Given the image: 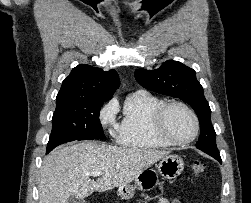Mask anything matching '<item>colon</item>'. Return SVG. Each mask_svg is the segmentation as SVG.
I'll list each match as a JSON object with an SVG mask.
<instances>
[{
    "label": "colon",
    "mask_w": 251,
    "mask_h": 203,
    "mask_svg": "<svg viewBox=\"0 0 251 203\" xmlns=\"http://www.w3.org/2000/svg\"><path fill=\"white\" fill-rule=\"evenodd\" d=\"M192 169L195 174L200 175L205 172L206 170V164L204 161L197 159L193 161L192 163Z\"/></svg>",
    "instance_id": "1"
}]
</instances>
